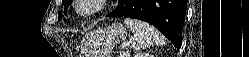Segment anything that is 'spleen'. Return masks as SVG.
<instances>
[{"mask_svg": "<svg viewBox=\"0 0 249 57\" xmlns=\"http://www.w3.org/2000/svg\"><path fill=\"white\" fill-rule=\"evenodd\" d=\"M124 23L131 29L135 42L133 47L136 50L146 49L147 47L165 44L163 35L152 25L144 21L126 18Z\"/></svg>", "mask_w": 249, "mask_h": 57, "instance_id": "1", "label": "spleen"}]
</instances>
